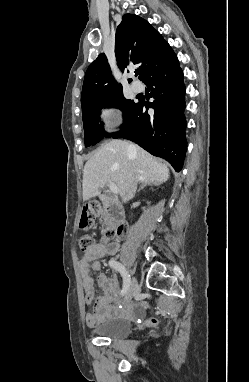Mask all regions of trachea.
Listing matches in <instances>:
<instances>
[{"label":"trachea","mask_w":249,"mask_h":382,"mask_svg":"<svg viewBox=\"0 0 249 382\" xmlns=\"http://www.w3.org/2000/svg\"><path fill=\"white\" fill-rule=\"evenodd\" d=\"M135 75H136V76L139 75V70H136V71H135Z\"/></svg>","instance_id":"1"}]
</instances>
